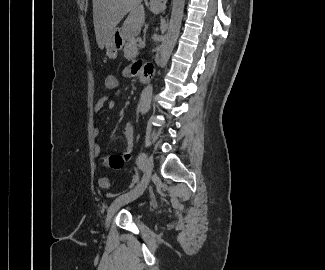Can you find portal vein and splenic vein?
I'll return each instance as SVG.
<instances>
[{"label": "portal vein and splenic vein", "mask_w": 325, "mask_h": 270, "mask_svg": "<svg viewBox=\"0 0 325 270\" xmlns=\"http://www.w3.org/2000/svg\"><path fill=\"white\" fill-rule=\"evenodd\" d=\"M139 47L140 48H144L145 47V43L144 42L140 43Z\"/></svg>", "instance_id": "obj_1"}]
</instances>
